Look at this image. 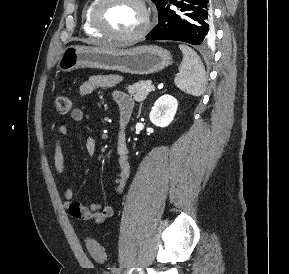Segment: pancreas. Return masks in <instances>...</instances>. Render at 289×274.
Listing matches in <instances>:
<instances>
[{"mask_svg":"<svg viewBox=\"0 0 289 274\" xmlns=\"http://www.w3.org/2000/svg\"><path fill=\"white\" fill-rule=\"evenodd\" d=\"M150 86H152L150 80L139 81L127 87V91L135 101L140 102L145 100L148 96L150 92L148 89Z\"/></svg>","mask_w":289,"mask_h":274,"instance_id":"obj_1","label":"pancreas"}]
</instances>
